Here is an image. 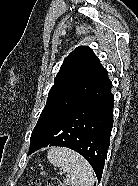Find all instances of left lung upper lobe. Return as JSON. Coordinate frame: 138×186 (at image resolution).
Wrapping results in <instances>:
<instances>
[{
  "instance_id": "left-lung-upper-lobe-1",
  "label": "left lung upper lobe",
  "mask_w": 138,
  "mask_h": 186,
  "mask_svg": "<svg viewBox=\"0 0 138 186\" xmlns=\"http://www.w3.org/2000/svg\"><path fill=\"white\" fill-rule=\"evenodd\" d=\"M108 78L92 49L77 47L64 59L47 103L32 131L30 144Z\"/></svg>"
}]
</instances>
